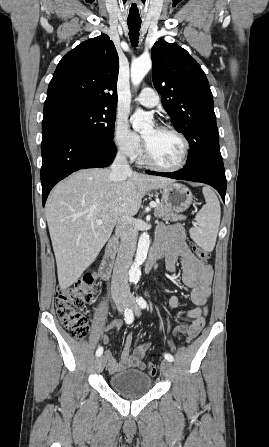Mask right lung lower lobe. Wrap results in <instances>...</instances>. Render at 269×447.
<instances>
[{
	"mask_svg": "<svg viewBox=\"0 0 269 447\" xmlns=\"http://www.w3.org/2000/svg\"><path fill=\"white\" fill-rule=\"evenodd\" d=\"M42 135L43 206L60 180L79 169L107 167L116 155L113 140L90 135L65 117L44 116Z\"/></svg>",
	"mask_w": 269,
	"mask_h": 447,
	"instance_id": "obj_1",
	"label": "right lung lower lobe"
}]
</instances>
